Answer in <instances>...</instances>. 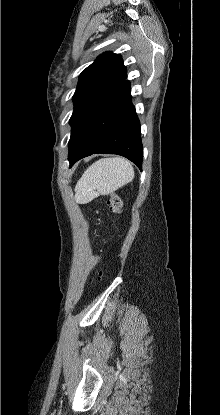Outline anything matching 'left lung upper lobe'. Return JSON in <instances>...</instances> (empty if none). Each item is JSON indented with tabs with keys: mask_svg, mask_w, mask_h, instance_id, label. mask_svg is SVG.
Segmentation results:
<instances>
[{
	"mask_svg": "<svg viewBox=\"0 0 220 415\" xmlns=\"http://www.w3.org/2000/svg\"><path fill=\"white\" fill-rule=\"evenodd\" d=\"M126 77V67L121 55L105 52L89 65L79 76L77 89L73 96L74 111L70 118L72 126L69 147L76 130L98 96L113 81Z\"/></svg>",
	"mask_w": 220,
	"mask_h": 415,
	"instance_id": "1",
	"label": "left lung upper lobe"
}]
</instances>
